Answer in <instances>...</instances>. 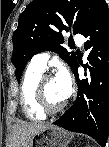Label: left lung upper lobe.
<instances>
[{"label":"left lung upper lobe","instance_id":"left-lung-upper-lobe-1","mask_svg":"<svg viewBox=\"0 0 109 147\" xmlns=\"http://www.w3.org/2000/svg\"><path fill=\"white\" fill-rule=\"evenodd\" d=\"M104 0H34L20 15L18 27L13 34L12 62L19 81L28 60L42 51L57 52L74 69L75 54L62 46L61 31L73 27L74 34L80 33L91 21ZM90 86L96 90L102 84V76L90 77Z\"/></svg>","mask_w":109,"mask_h":147}]
</instances>
